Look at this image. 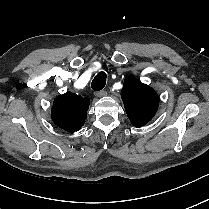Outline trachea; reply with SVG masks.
<instances>
[{
    "label": "trachea",
    "mask_w": 209,
    "mask_h": 209,
    "mask_svg": "<svg viewBox=\"0 0 209 209\" xmlns=\"http://www.w3.org/2000/svg\"><path fill=\"white\" fill-rule=\"evenodd\" d=\"M107 75L104 71L99 72L93 79L91 87L94 91H100L106 84Z\"/></svg>",
    "instance_id": "obj_1"
}]
</instances>
